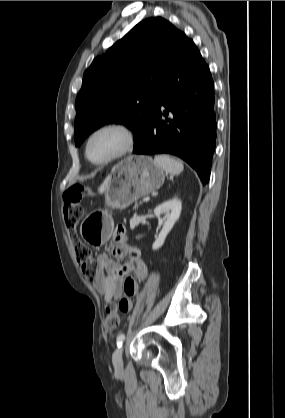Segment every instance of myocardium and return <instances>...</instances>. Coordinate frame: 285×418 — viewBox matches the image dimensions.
<instances>
[{"mask_svg": "<svg viewBox=\"0 0 285 418\" xmlns=\"http://www.w3.org/2000/svg\"><path fill=\"white\" fill-rule=\"evenodd\" d=\"M108 130L119 132L123 137V142L116 152H114L104 160L94 161L89 156V144L97 134ZM134 143L135 135L130 127L120 122H108L97 126L88 134L84 143V155L85 158L94 165H105L130 153L134 147Z\"/></svg>", "mask_w": 285, "mask_h": 418, "instance_id": "obj_1", "label": "myocardium"}]
</instances>
